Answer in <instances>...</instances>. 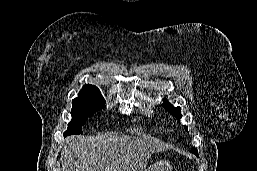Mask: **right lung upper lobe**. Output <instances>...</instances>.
<instances>
[{"mask_svg": "<svg viewBox=\"0 0 257 171\" xmlns=\"http://www.w3.org/2000/svg\"><path fill=\"white\" fill-rule=\"evenodd\" d=\"M81 91L100 92L96 86L90 84H85Z\"/></svg>", "mask_w": 257, "mask_h": 171, "instance_id": "cb5924a9", "label": "right lung upper lobe"}]
</instances>
